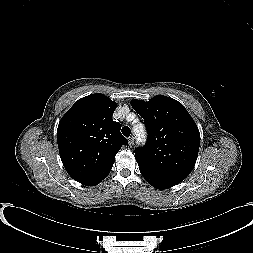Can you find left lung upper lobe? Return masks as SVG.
Returning a JSON list of instances; mask_svg holds the SVG:
<instances>
[{
    "label": "left lung upper lobe",
    "mask_w": 253,
    "mask_h": 253,
    "mask_svg": "<svg viewBox=\"0 0 253 253\" xmlns=\"http://www.w3.org/2000/svg\"><path fill=\"white\" fill-rule=\"evenodd\" d=\"M131 105L148 132L145 146L135 149L140 171L171 185L180 183L197 160L200 133L194 120L181 103L163 95Z\"/></svg>",
    "instance_id": "5c2ea615"
}]
</instances>
